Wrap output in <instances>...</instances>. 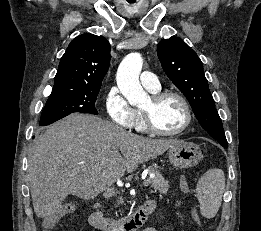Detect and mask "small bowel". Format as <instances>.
I'll list each match as a JSON object with an SVG mask.
<instances>
[{
    "label": "small bowel",
    "instance_id": "small-bowel-1",
    "mask_svg": "<svg viewBox=\"0 0 261 231\" xmlns=\"http://www.w3.org/2000/svg\"><path fill=\"white\" fill-rule=\"evenodd\" d=\"M181 181L186 183L184 178H182ZM182 191L183 192H188V187L184 188ZM149 201L154 204V207L156 206V201L155 200H149ZM143 231H156V230L154 228H146ZM182 231H185V230H182Z\"/></svg>",
    "mask_w": 261,
    "mask_h": 231
}]
</instances>
